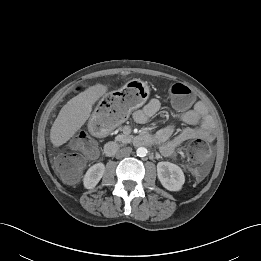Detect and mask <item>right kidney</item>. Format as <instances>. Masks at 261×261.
Segmentation results:
<instances>
[{"mask_svg":"<svg viewBox=\"0 0 261 261\" xmlns=\"http://www.w3.org/2000/svg\"><path fill=\"white\" fill-rule=\"evenodd\" d=\"M105 171V165L103 163H97L91 166L83 179L84 187L87 189L94 188L101 180Z\"/></svg>","mask_w":261,"mask_h":261,"instance_id":"1","label":"right kidney"}]
</instances>
